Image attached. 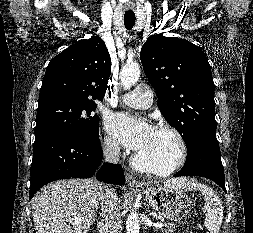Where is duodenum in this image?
<instances>
[{
	"mask_svg": "<svg viewBox=\"0 0 253 233\" xmlns=\"http://www.w3.org/2000/svg\"><path fill=\"white\" fill-rule=\"evenodd\" d=\"M99 230L101 231V233H103L106 230V225L104 223H100Z\"/></svg>",
	"mask_w": 253,
	"mask_h": 233,
	"instance_id": "1",
	"label": "duodenum"
}]
</instances>
